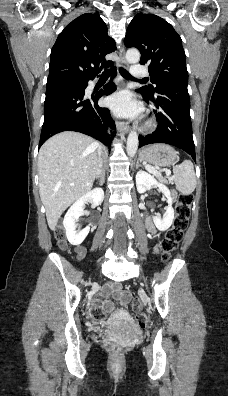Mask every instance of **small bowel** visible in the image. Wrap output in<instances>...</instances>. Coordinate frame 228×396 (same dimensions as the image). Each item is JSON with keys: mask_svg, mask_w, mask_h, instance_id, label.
<instances>
[{"mask_svg": "<svg viewBox=\"0 0 228 396\" xmlns=\"http://www.w3.org/2000/svg\"><path fill=\"white\" fill-rule=\"evenodd\" d=\"M149 229L152 231L153 230V226L151 224H149ZM78 254H83L84 253V249L83 248H78L77 249ZM103 294L105 297H108L109 295H113V297L121 304V305H125L129 300H130V293L127 291H123L120 287V285H112V284H107L104 289H103ZM93 305L96 307H101L103 308L105 311L107 312H114L115 311V307L113 305V303L108 300L105 299L103 301H99V300H94L93 301Z\"/></svg>", "mask_w": 228, "mask_h": 396, "instance_id": "1", "label": "small bowel"}]
</instances>
